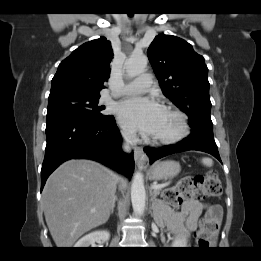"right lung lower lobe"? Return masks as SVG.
<instances>
[{
    "instance_id": "obj_1",
    "label": "right lung lower lobe",
    "mask_w": 261,
    "mask_h": 261,
    "mask_svg": "<svg viewBox=\"0 0 261 261\" xmlns=\"http://www.w3.org/2000/svg\"><path fill=\"white\" fill-rule=\"evenodd\" d=\"M46 137L41 191L49 175L69 159H92L127 177L133 174V154L121 151L122 138L113 116L101 119L64 116L47 120Z\"/></svg>"
}]
</instances>
